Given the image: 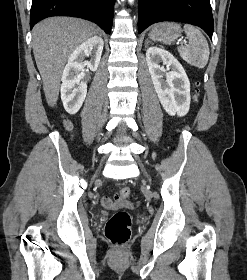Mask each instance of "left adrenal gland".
Returning a JSON list of instances; mask_svg holds the SVG:
<instances>
[{
    "label": "left adrenal gland",
    "instance_id": "1",
    "mask_svg": "<svg viewBox=\"0 0 247 280\" xmlns=\"http://www.w3.org/2000/svg\"><path fill=\"white\" fill-rule=\"evenodd\" d=\"M148 43H149V41H148V40H146L145 47H147Z\"/></svg>",
    "mask_w": 247,
    "mask_h": 280
}]
</instances>
